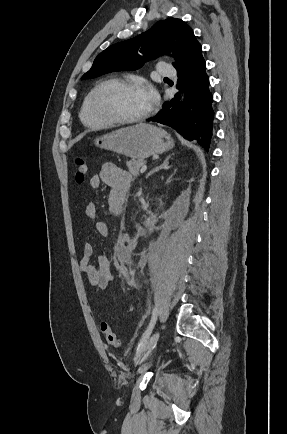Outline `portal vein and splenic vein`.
<instances>
[{
    "instance_id": "obj_1",
    "label": "portal vein and splenic vein",
    "mask_w": 287,
    "mask_h": 434,
    "mask_svg": "<svg viewBox=\"0 0 287 434\" xmlns=\"http://www.w3.org/2000/svg\"><path fill=\"white\" fill-rule=\"evenodd\" d=\"M147 170V165L146 164H144L142 167H141V173H144L145 171Z\"/></svg>"
}]
</instances>
